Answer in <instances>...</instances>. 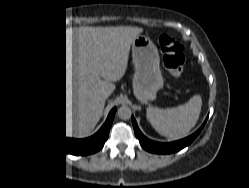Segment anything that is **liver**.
I'll use <instances>...</instances> for the list:
<instances>
[{
    "mask_svg": "<svg viewBox=\"0 0 249 188\" xmlns=\"http://www.w3.org/2000/svg\"><path fill=\"white\" fill-rule=\"evenodd\" d=\"M141 32L142 28L128 26L87 27L61 36L60 77L62 89L65 87L67 136H85L98 123L106 98L115 90L113 82L125 73L132 41Z\"/></svg>",
    "mask_w": 249,
    "mask_h": 188,
    "instance_id": "liver-1",
    "label": "liver"
}]
</instances>
